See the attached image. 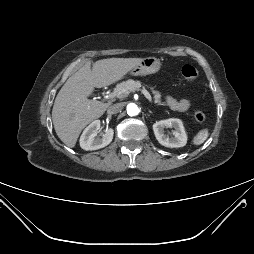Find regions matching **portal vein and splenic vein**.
Instances as JSON below:
<instances>
[{
	"instance_id": "1",
	"label": "portal vein and splenic vein",
	"mask_w": 254,
	"mask_h": 254,
	"mask_svg": "<svg viewBox=\"0 0 254 254\" xmlns=\"http://www.w3.org/2000/svg\"><path fill=\"white\" fill-rule=\"evenodd\" d=\"M141 92L144 94V96L149 100V102H152V97L149 94V92L146 89H141ZM113 95V94H112Z\"/></svg>"
}]
</instances>
